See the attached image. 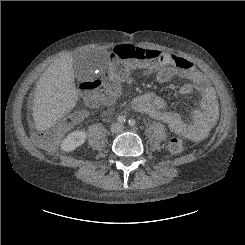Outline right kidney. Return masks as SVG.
Instances as JSON below:
<instances>
[{
  "label": "right kidney",
  "instance_id": "ca27d5eb",
  "mask_svg": "<svg viewBox=\"0 0 245 245\" xmlns=\"http://www.w3.org/2000/svg\"><path fill=\"white\" fill-rule=\"evenodd\" d=\"M86 138L87 133L85 131H74L62 141L61 149L65 152H71L81 146L85 142Z\"/></svg>",
  "mask_w": 245,
  "mask_h": 245
}]
</instances>
